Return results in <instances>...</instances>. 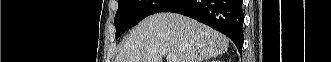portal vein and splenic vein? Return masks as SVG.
<instances>
[{"label":"portal vein and splenic vein","mask_w":331,"mask_h":62,"mask_svg":"<svg viewBox=\"0 0 331 62\" xmlns=\"http://www.w3.org/2000/svg\"><path fill=\"white\" fill-rule=\"evenodd\" d=\"M177 58L173 54L167 55V62H176Z\"/></svg>","instance_id":"obj_1"}]
</instances>
